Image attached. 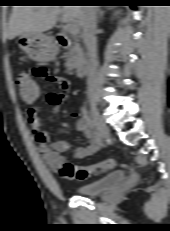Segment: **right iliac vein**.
<instances>
[{
  "instance_id": "obj_1",
  "label": "right iliac vein",
  "mask_w": 170,
  "mask_h": 231,
  "mask_svg": "<svg viewBox=\"0 0 170 231\" xmlns=\"http://www.w3.org/2000/svg\"><path fill=\"white\" fill-rule=\"evenodd\" d=\"M90 106H91V113L94 118V123L96 124L99 135L101 139L106 140L110 134V130L108 126L100 118L93 96L90 97Z\"/></svg>"
}]
</instances>
